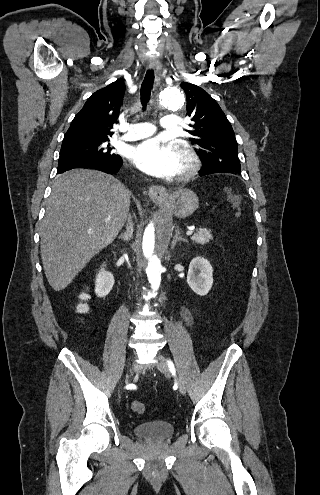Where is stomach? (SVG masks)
Here are the masks:
<instances>
[{
	"label": "stomach",
	"instance_id": "1",
	"mask_svg": "<svg viewBox=\"0 0 320 495\" xmlns=\"http://www.w3.org/2000/svg\"><path fill=\"white\" fill-rule=\"evenodd\" d=\"M159 205L167 207L179 218H186L192 215L199 206L197 195L189 189H181L177 193L170 195L166 201L158 202Z\"/></svg>",
	"mask_w": 320,
	"mask_h": 495
}]
</instances>
